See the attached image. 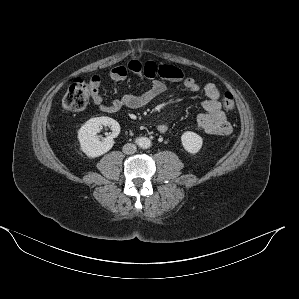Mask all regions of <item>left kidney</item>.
<instances>
[{
    "instance_id": "obj_1",
    "label": "left kidney",
    "mask_w": 299,
    "mask_h": 299,
    "mask_svg": "<svg viewBox=\"0 0 299 299\" xmlns=\"http://www.w3.org/2000/svg\"><path fill=\"white\" fill-rule=\"evenodd\" d=\"M181 142L184 149L191 154L198 153L203 144L202 138L197 133L191 131H186L182 134Z\"/></svg>"
}]
</instances>
